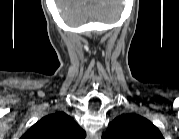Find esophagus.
<instances>
[{
  "label": "esophagus",
  "mask_w": 179,
  "mask_h": 139,
  "mask_svg": "<svg viewBox=\"0 0 179 139\" xmlns=\"http://www.w3.org/2000/svg\"><path fill=\"white\" fill-rule=\"evenodd\" d=\"M101 138V133L98 132L94 135V139H100Z\"/></svg>",
  "instance_id": "esophagus-1"
}]
</instances>
